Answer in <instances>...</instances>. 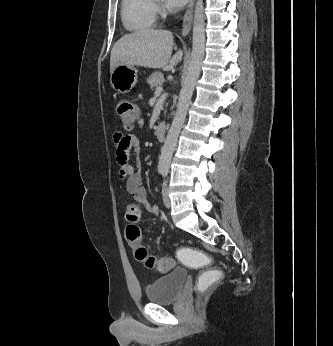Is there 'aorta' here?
I'll list each match as a JSON object with an SVG mask.
<instances>
[{
	"instance_id": "aorta-1",
	"label": "aorta",
	"mask_w": 333,
	"mask_h": 346,
	"mask_svg": "<svg viewBox=\"0 0 333 346\" xmlns=\"http://www.w3.org/2000/svg\"><path fill=\"white\" fill-rule=\"evenodd\" d=\"M205 53V16L203 0H197L193 19L192 53L188 73L180 91L176 114L166 136L158 167L168 169L179 133L183 127L191 97L201 73Z\"/></svg>"
}]
</instances>
